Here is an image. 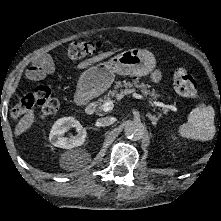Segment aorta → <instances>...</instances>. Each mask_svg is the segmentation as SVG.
I'll use <instances>...</instances> for the list:
<instances>
[{"label": "aorta", "mask_w": 221, "mask_h": 221, "mask_svg": "<svg viewBox=\"0 0 221 221\" xmlns=\"http://www.w3.org/2000/svg\"><path fill=\"white\" fill-rule=\"evenodd\" d=\"M145 127L138 121H126L124 127V134L127 138L132 140H139L143 137Z\"/></svg>", "instance_id": "1"}]
</instances>
